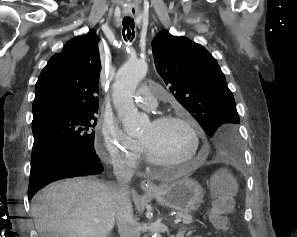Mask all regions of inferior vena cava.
<instances>
[{
    "instance_id": "602c4592",
    "label": "inferior vena cava",
    "mask_w": 297,
    "mask_h": 237,
    "mask_svg": "<svg viewBox=\"0 0 297 237\" xmlns=\"http://www.w3.org/2000/svg\"><path fill=\"white\" fill-rule=\"evenodd\" d=\"M114 175L119 182V188L113 190V199L120 237H140L139 226L134 219L127 191L133 173L128 168L119 166L114 168Z\"/></svg>"
}]
</instances>
